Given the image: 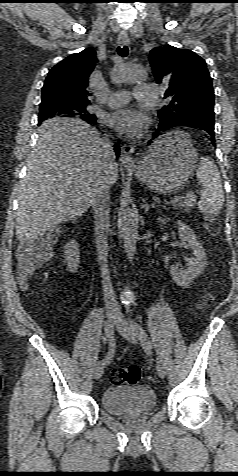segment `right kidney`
<instances>
[{
	"mask_svg": "<svg viewBox=\"0 0 238 476\" xmlns=\"http://www.w3.org/2000/svg\"><path fill=\"white\" fill-rule=\"evenodd\" d=\"M64 255L67 270L72 273L75 272L80 263L79 244L74 240H70L64 247Z\"/></svg>",
	"mask_w": 238,
	"mask_h": 476,
	"instance_id": "obj_1",
	"label": "right kidney"
}]
</instances>
